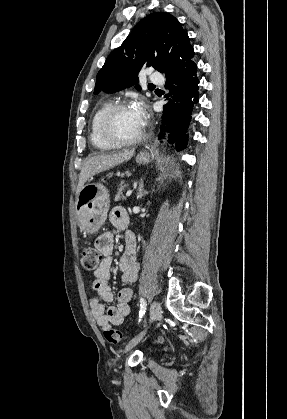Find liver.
I'll use <instances>...</instances> for the list:
<instances>
[{"label": "liver", "instance_id": "obj_1", "mask_svg": "<svg viewBox=\"0 0 287 419\" xmlns=\"http://www.w3.org/2000/svg\"><path fill=\"white\" fill-rule=\"evenodd\" d=\"M135 150H124L118 153L110 154H97L91 157H88L81 168L79 175V183L76 191L78 196L79 192L85 185V183L94 175L106 171L110 168H113L125 161H128L134 155Z\"/></svg>", "mask_w": 287, "mask_h": 419}]
</instances>
